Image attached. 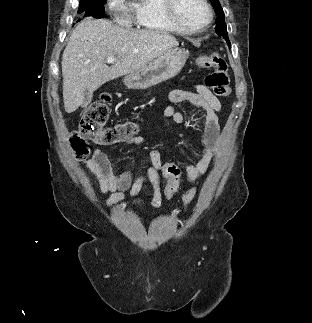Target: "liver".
I'll use <instances>...</instances> for the list:
<instances>
[{"label": "liver", "instance_id": "obj_1", "mask_svg": "<svg viewBox=\"0 0 312 323\" xmlns=\"http://www.w3.org/2000/svg\"><path fill=\"white\" fill-rule=\"evenodd\" d=\"M174 46H179L176 38L165 32L129 30L110 20H82L72 30L61 62L65 112L82 106L86 88L93 94L102 84L145 68ZM109 56L116 58L113 66H107Z\"/></svg>", "mask_w": 312, "mask_h": 323}]
</instances>
